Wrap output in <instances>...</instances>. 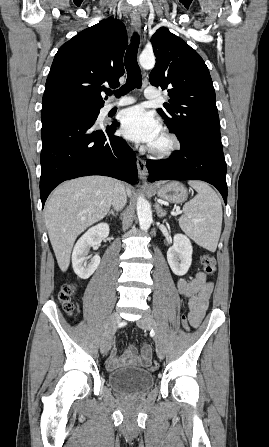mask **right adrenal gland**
Here are the masks:
<instances>
[{"label":"right adrenal gland","instance_id":"obj_1","mask_svg":"<svg viewBox=\"0 0 269 447\" xmlns=\"http://www.w3.org/2000/svg\"><path fill=\"white\" fill-rule=\"evenodd\" d=\"M118 212V210H117ZM107 216H118V214H115V212H113V210H111V212H107Z\"/></svg>","mask_w":269,"mask_h":447}]
</instances>
